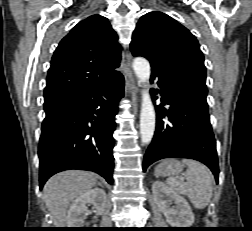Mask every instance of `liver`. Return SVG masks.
<instances>
[{"label":"liver","mask_w":252,"mask_h":231,"mask_svg":"<svg viewBox=\"0 0 252 231\" xmlns=\"http://www.w3.org/2000/svg\"><path fill=\"white\" fill-rule=\"evenodd\" d=\"M97 183L94 174L70 170L52 176L45 184L43 196L56 228H63L71 201L89 191Z\"/></svg>","instance_id":"6515ba94"}]
</instances>
